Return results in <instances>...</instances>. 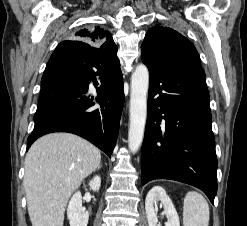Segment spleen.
<instances>
[{
    "instance_id": "obj_1",
    "label": "spleen",
    "mask_w": 247,
    "mask_h": 226,
    "mask_svg": "<svg viewBox=\"0 0 247 226\" xmlns=\"http://www.w3.org/2000/svg\"><path fill=\"white\" fill-rule=\"evenodd\" d=\"M183 221L184 226H208L209 205L200 193L191 191L185 196Z\"/></svg>"
}]
</instances>
